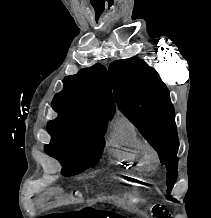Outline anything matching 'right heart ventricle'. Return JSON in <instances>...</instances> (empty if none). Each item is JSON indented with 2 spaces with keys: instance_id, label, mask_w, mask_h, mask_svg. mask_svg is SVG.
Listing matches in <instances>:
<instances>
[{
  "instance_id": "e07e8e85",
  "label": "right heart ventricle",
  "mask_w": 211,
  "mask_h": 218,
  "mask_svg": "<svg viewBox=\"0 0 211 218\" xmlns=\"http://www.w3.org/2000/svg\"><path fill=\"white\" fill-rule=\"evenodd\" d=\"M111 137L112 140L123 143L110 144L113 157H119V160H115V165H125V169H147V165L151 164L150 160L144 158L147 144L128 116L120 114L116 117Z\"/></svg>"
}]
</instances>
